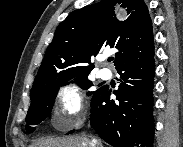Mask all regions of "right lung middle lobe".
Segmentation results:
<instances>
[{"label":"right lung middle lobe","mask_w":183,"mask_h":147,"mask_svg":"<svg viewBox=\"0 0 183 147\" xmlns=\"http://www.w3.org/2000/svg\"><path fill=\"white\" fill-rule=\"evenodd\" d=\"M71 79H75L81 85V88L85 90L93 86L92 82L88 80V74H86L57 79L42 88L31 91V105L27 113V124L25 126L27 132L32 133L35 130L33 125L41 123L50 115L59 86L67 84ZM95 92H88L87 95H93Z\"/></svg>","instance_id":"dd1d6c3e"}]
</instances>
